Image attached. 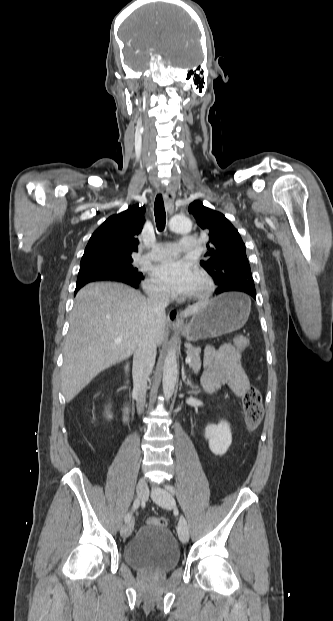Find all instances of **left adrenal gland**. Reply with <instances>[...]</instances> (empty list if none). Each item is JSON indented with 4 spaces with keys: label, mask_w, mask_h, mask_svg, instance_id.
<instances>
[{
    "label": "left adrenal gland",
    "mask_w": 333,
    "mask_h": 621,
    "mask_svg": "<svg viewBox=\"0 0 333 621\" xmlns=\"http://www.w3.org/2000/svg\"><path fill=\"white\" fill-rule=\"evenodd\" d=\"M182 379H183V381L185 382L186 385L194 388V385L192 384L191 380H189V378H187V380H186V374H185L184 368L182 370Z\"/></svg>",
    "instance_id": "left-adrenal-gland-1"
}]
</instances>
